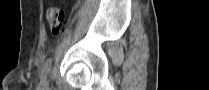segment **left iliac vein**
Returning a JSON list of instances; mask_svg holds the SVG:
<instances>
[{
    "label": "left iliac vein",
    "instance_id": "1",
    "mask_svg": "<svg viewBox=\"0 0 209 90\" xmlns=\"http://www.w3.org/2000/svg\"><path fill=\"white\" fill-rule=\"evenodd\" d=\"M45 82H46V80H45ZM43 86H48L47 84H44Z\"/></svg>",
    "mask_w": 209,
    "mask_h": 90
}]
</instances>
